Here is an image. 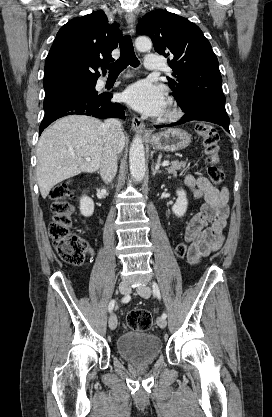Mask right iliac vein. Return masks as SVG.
Returning <instances> with one entry per match:
<instances>
[{
  "label": "right iliac vein",
  "instance_id": "obj_1",
  "mask_svg": "<svg viewBox=\"0 0 272 417\" xmlns=\"http://www.w3.org/2000/svg\"><path fill=\"white\" fill-rule=\"evenodd\" d=\"M130 286L127 282L123 281L119 284V291L121 294L128 295L130 293ZM109 327L114 330L117 327V317L112 313L109 317Z\"/></svg>",
  "mask_w": 272,
  "mask_h": 417
}]
</instances>
